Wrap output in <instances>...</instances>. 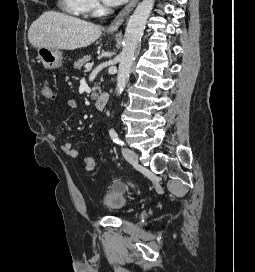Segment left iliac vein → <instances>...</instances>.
Listing matches in <instances>:
<instances>
[{
    "mask_svg": "<svg viewBox=\"0 0 255 272\" xmlns=\"http://www.w3.org/2000/svg\"><path fill=\"white\" fill-rule=\"evenodd\" d=\"M122 154L124 158L131 164H137L138 163V156L135 151L128 149V148H123L122 149Z\"/></svg>",
    "mask_w": 255,
    "mask_h": 272,
    "instance_id": "4c4485c4",
    "label": "left iliac vein"
}]
</instances>
